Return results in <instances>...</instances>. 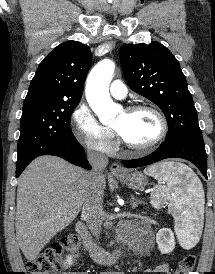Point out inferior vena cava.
<instances>
[{"instance_id": "obj_1", "label": "inferior vena cava", "mask_w": 215, "mask_h": 274, "mask_svg": "<svg viewBox=\"0 0 215 274\" xmlns=\"http://www.w3.org/2000/svg\"><path fill=\"white\" fill-rule=\"evenodd\" d=\"M87 159L92 170L88 173L82 217L90 232L99 240L104 221L102 173L108 165V158L103 153L88 150Z\"/></svg>"}]
</instances>
